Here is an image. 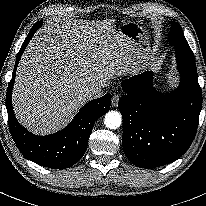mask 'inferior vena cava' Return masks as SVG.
<instances>
[{"instance_id":"inferior-vena-cava-1","label":"inferior vena cava","mask_w":206,"mask_h":206,"mask_svg":"<svg viewBox=\"0 0 206 206\" xmlns=\"http://www.w3.org/2000/svg\"><path fill=\"white\" fill-rule=\"evenodd\" d=\"M87 94L90 99H95L102 97L104 95V91L101 87L94 86L87 91Z\"/></svg>"}]
</instances>
